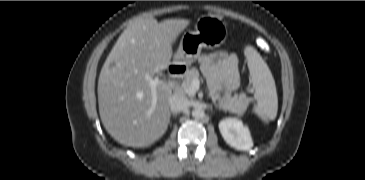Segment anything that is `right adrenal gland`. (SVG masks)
<instances>
[{
	"instance_id": "obj_1",
	"label": "right adrenal gland",
	"mask_w": 365,
	"mask_h": 180,
	"mask_svg": "<svg viewBox=\"0 0 365 180\" xmlns=\"http://www.w3.org/2000/svg\"><path fill=\"white\" fill-rule=\"evenodd\" d=\"M171 114H172L173 116H176V115H177V113H176V112H172Z\"/></svg>"
}]
</instances>
